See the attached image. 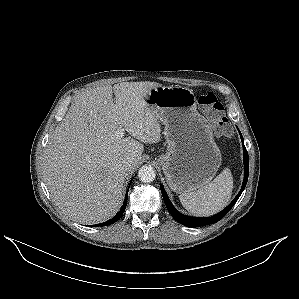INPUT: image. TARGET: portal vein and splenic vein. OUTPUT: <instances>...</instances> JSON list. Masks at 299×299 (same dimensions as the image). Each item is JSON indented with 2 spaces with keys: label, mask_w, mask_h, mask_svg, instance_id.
I'll list each match as a JSON object with an SVG mask.
<instances>
[{
  "label": "portal vein and splenic vein",
  "mask_w": 299,
  "mask_h": 299,
  "mask_svg": "<svg viewBox=\"0 0 299 299\" xmlns=\"http://www.w3.org/2000/svg\"><path fill=\"white\" fill-rule=\"evenodd\" d=\"M117 135L118 137H123L124 136V129L123 128H120L118 131H117Z\"/></svg>",
  "instance_id": "portal-vein-and-splenic-vein-1"
}]
</instances>
